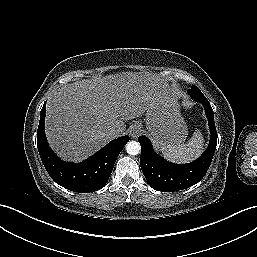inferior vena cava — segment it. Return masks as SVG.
<instances>
[{"instance_id": "1", "label": "inferior vena cava", "mask_w": 257, "mask_h": 257, "mask_svg": "<svg viewBox=\"0 0 257 257\" xmlns=\"http://www.w3.org/2000/svg\"><path fill=\"white\" fill-rule=\"evenodd\" d=\"M107 137L110 138V139H114L116 137H118V133L116 132V130H109L107 133H106Z\"/></svg>"}]
</instances>
